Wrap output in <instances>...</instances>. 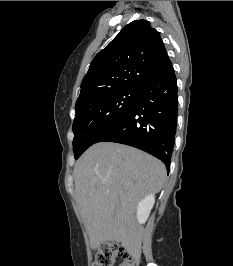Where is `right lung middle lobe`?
I'll return each instance as SVG.
<instances>
[{"label": "right lung middle lobe", "instance_id": "right-lung-middle-lobe-1", "mask_svg": "<svg viewBox=\"0 0 233 266\" xmlns=\"http://www.w3.org/2000/svg\"><path fill=\"white\" fill-rule=\"evenodd\" d=\"M140 90L117 89L93 95L75 106L73 152L75 159L134 104Z\"/></svg>", "mask_w": 233, "mask_h": 266}]
</instances>
